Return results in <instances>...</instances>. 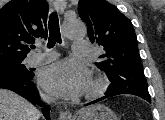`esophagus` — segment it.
Wrapping results in <instances>:
<instances>
[{
  "label": "esophagus",
  "mask_w": 165,
  "mask_h": 120,
  "mask_svg": "<svg viewBox=\"0 0 165 120\" xmlns=\"http://www.w3.org/2000/svg\"><path fill=\"white\" fill-rule=\"evenodd\" d=\"M54 9L58 12H63L65 9V2L64 0H56L53 3ZM60 120H73V116L69 111H64L60 115Z\"/></svg>",
  "instance_id": "obj_1"
}]
</instances>
